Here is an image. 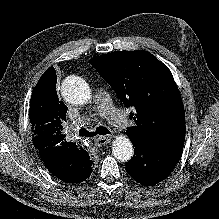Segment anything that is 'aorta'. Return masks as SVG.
<instances>
[{"label":"aorta","mask_w":219,"mask_h":219,"mask_svg":"<svg viewBox=\"0 0 219 219\" xmlns=\"http://www.w3.org/2000/svg\"><path fill=\"white\" fill-rule=\"evenodd\" d=\"M63 98L71 104L83 105L92 97L91 89L85 80L79 77L65 79L61 86ZM113 156L120 162H127L133 156V145L125 135L117 136L112 143Z\"/></svg>","instance_id":"aorta-1"}]
</instances>
